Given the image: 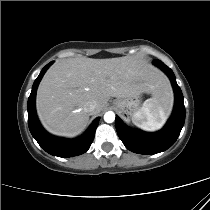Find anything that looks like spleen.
I'll return each mask as SVG.
<instances>
[{"label": "spleen", "instance_id": "1", "mask_svg": "<svg viewBox=\"0 0 210 210\" xmlns=\"http://www.w3.org/2000/svg\"><path fill=\"white\" fill-rule=\"evenodd\" d=\"M171 101L163 97L147 99L141 109L133 115L132 122L145 131L159 130L166 121V111Z\"/></svg>", "mask_w": 210, "mask_h": 210}]
</instances>
